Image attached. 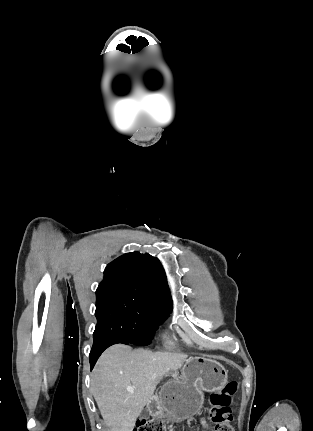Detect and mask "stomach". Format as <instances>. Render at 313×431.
Returning a JSON list of instances; mask_svg holds the SVG:
<instances>
[{"label": "stomach", "mask_w": 313, "mask_h": 431, "mask_svg": "<svg viewBox=\"0 0 313 431\" xmlns=\"http://www.w3.org/2000/svg\"><path fill=\"white\" fill-rule=\"evenodd\" d=\"M227 382L228 371L219 362L190 357L181 370V378L169 380L153 401L155 416L172 422L190 418L201 409L204 391H219Z\"/></svg>", "instance_id": "0dacf381"}]
</instances>
